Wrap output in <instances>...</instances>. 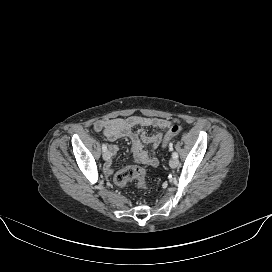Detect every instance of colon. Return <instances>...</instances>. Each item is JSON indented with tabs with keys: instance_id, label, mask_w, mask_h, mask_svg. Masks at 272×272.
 I'll use <instances>...</instances> for the list:
<instances>
[{
	"instance_id": "colon-1",
	"label": "colon",
	"mask_w": 272,
	"mask_h": 272,
	"mask_svg": "<svg viewBox=\"0 0 272 272\" xmlns=\"http://www.w3.org/2000/svg\"><path fill=\"white\" fill-rule=\"evenodd\" d=\"M181 132V127L178 124H173L165 134L162 140V146L167 147L170 145L172 139ZM145 170L137 165L127 166L118 171L114 176V183L119 187L126 186L131 181H136L137 185L146 189Z\"/></svg>"
}]
</instances>
